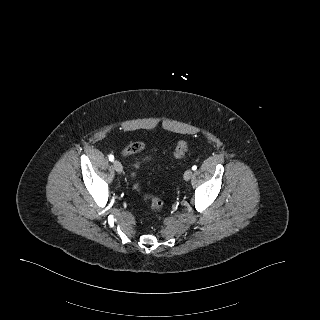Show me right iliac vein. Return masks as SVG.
Instances as JSON below:
<instances>
[{
	"instance_id": "63e3f726",
	"label": "right iliac vein",
	"mask_w": 320,
	"mask_h": 320,
	"mask_svg": "<svg viewBox=\"0 0 320 320\" xmlns=\"http://www.w3.org/2000/svg\"><path fill=\"white\" fill-rule=\"evenodd\" d=\"M113 166L117 173L121 174L123 172V166L119 161L115 160L113 162Z\"/></svg>"
}]
</instances>
